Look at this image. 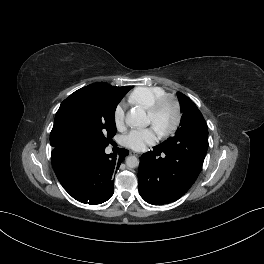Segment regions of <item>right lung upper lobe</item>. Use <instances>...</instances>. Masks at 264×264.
Returning a JSON list of instances; mask_svg holds the SVG:
<instances>
[{
    "mask_svg": "<svg viewBox=\"0 0 264 264\" xmlns=\"http://www.w3.org/2000/svg\"><path fill=\"white\" fill-rule=\"evenodd\" d=\"M130 87H131V86H124V87H119V88H121V89H123V90H128Z\"/></svg>",
    "mask_w": 264,
    "mask_h": 264,
    "instance_id": "1",
    "label": "right lung upper lobe"
}]
</instances>
